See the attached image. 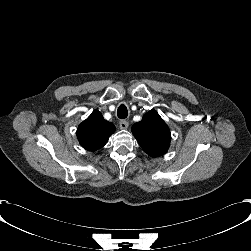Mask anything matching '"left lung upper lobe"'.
Masks as SVG:
<instances>
[{
  "mask_svg": "<svg viewBox=\"0 0 251 251\" xmlns=\"http://www.w3.org/2000/svg\"><path fill=\"white\" fill-rule=\"evenodd\" d=\"M132 133L141 148L151 157H159L169 148L170 130L155 110H150L140 122L135 123Z\"/></svg>",
  "mask_w": 251,
  "mask_h": 251,
  "instance_id": "5c2ea615",
  "label": "left lung upper lobe"
}]
</instances>
